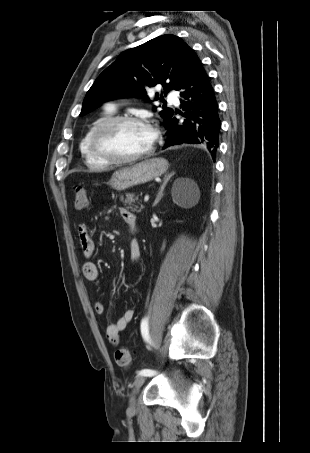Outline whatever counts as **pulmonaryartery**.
<instances>
[{"label": "pulmonary artery", "mask_w": 310, "mask_h": 453, "mask_svg": "<svg viewBox=\"0 0 310 453\" xmlns=\"http://www.w3.org/2000/svg\"><path fill=\"white\" fill-rule=\"evenodd\" d=\"M166 97H167V99L169 101L178 103V99H177V96H176L175 92H168L166 94ZM109 108L113 109L114 107L113 106H109Z\"/></svg>", "instance_id": "pulmonary-artery-1"}]
</instances>
